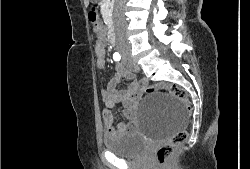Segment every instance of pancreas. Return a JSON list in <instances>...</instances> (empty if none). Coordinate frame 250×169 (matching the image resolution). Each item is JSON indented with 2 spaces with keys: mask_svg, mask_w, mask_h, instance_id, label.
Returning a JSON list of instances; mask_svg holds the SVG:
<instances>
[{
  "mask_svg": "<svg viewBox=\"0 0 250 169\" xmlns=\"http://www.w3.org/2000/svg\"><path fill=\"white\" fill-rule=\"evenodd\" d=\"M101 2H107V0H101ZM110 6H112L113 2L111 0V2H109Z\"/></svg>",
  "mask_w": 250,
  "mask_h": 169,
  "instance_id": "cf45deb5",
  "label": "pancreas"
}]
</instances>
